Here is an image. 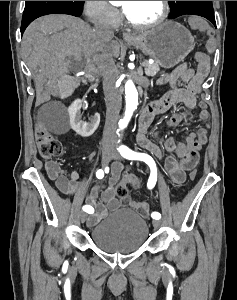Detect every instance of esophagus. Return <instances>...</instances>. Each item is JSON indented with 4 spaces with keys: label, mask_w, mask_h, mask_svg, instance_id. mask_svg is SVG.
Here are the masks:
<instances>
[{
    "label": "esophagus",
    "mask_w": 237,
    "mask_h": 300,
    "mask_svg": "<svg viewBox=\"0 0 237 300\" xmlns=\"http://www.w3.org/2000/svg\"><path fill=\"white\" fill-rule=\"evenodd\" d=\"M123 38L126 40V41H131L133 39H136L137 38V35L134 34V33H124L123 34Z\"/></svg>",
    "instance_id": "esophagus-1"
}]
</instances>
